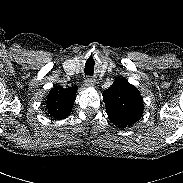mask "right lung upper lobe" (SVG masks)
<instances>
[{"instance_id": "obj_1", "label": "right lung upper lobe", "mask_w": 183, "mask_h": 183, "mask_svg": "<svg viewBox=\"0 0 183 183\" xmlns=\"http://www.w3.org/2000/svg\"><path fill=\"white\" fill-rule=\"evenodd\" d=\"M77 89V86L65 89L59 86H53L44 104L46 105L48 115L60 120L68 117L75 102Z\"/></svg>"}]
</instances>
